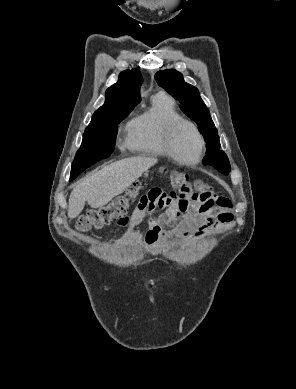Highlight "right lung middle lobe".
Returning <instances> with one entry per match:
<instances>
[{
    "label": "right lung middle lobe",
    "instance_id": "obj_1",
    "mask_svg": "<svg viewBox=\"0 0 296 389\" xmlns=\"http://www.w3.org/2000/svg\"><path fill=\"white\" fill-rule=\"evenodd\" d=\"M133 108H121L105 116L92 119L85 129L83 141L76 153L72 169L85 165L91 166L97 161L109 157L115 147L117 125Z\"/></svg>",
    "mask_w": 296,
    "mask_h": 389
}]
</instances>
